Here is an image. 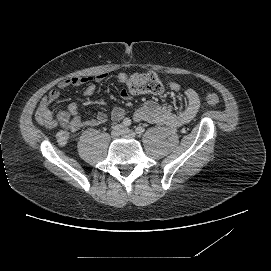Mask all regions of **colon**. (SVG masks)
Instances as JSON below:
<instances>
[{
    "label": "colon",
    "instance_id": "colon-1",
    "mask_svg": "<svg viewBox=\"0 0 271 271\" xmlns=\"http://www.w3.org/2000/svg\"><path fill=\"white\" fill-rule=\"evenodd\" d=\"M123 85L124 89L130 95H158L163 92V84L154 72H132L127 76ZM206 100L213 106H218L220 104L219 97L213 93L207 94ZM37 119L41 124H45L41 116L37 115Z\"/></svg>",
    "mask_w": 271,
    "mask_h": 271
}]
</instances>
